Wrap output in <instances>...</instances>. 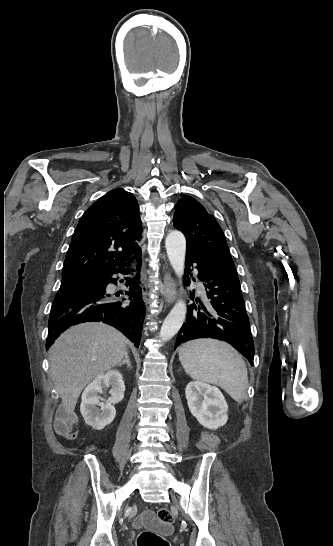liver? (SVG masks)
Listing matches in <instances>:
<instances>
[{
    "label": "liver",
    "mask_w": 333,
    "mask_h": 546,
    "mask_svg": "<svg viewBox=\"0 0 333 546\" xmlns=\"http://www.w3.org/2000/svg\"><path fill=\"white\" fill-rule=\"evenodd\" d=\"M126 345L124 335L103 323L71 327L55 341L50 350V373L67 415L74 413L87 384L121 362Z\"/></svg>",
    "instance_id": "1"
}]
</instances>
